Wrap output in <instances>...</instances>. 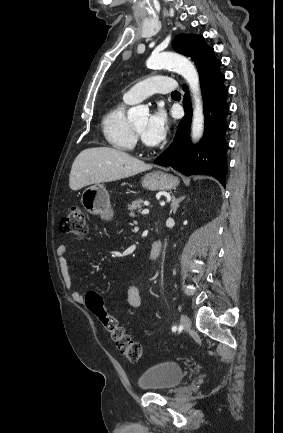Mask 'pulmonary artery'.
Returning <instances> with one entry per match:
<instances>
[{
  "label": "pulmonary artery",
  "mask_w": 283,
  "mask_h": 433,
  "mask_svg": "<svg viewBox=\"0 0 283 433\" xmlns=\"http://www.w3.org/2000/svg\"><path fill=\"white\" fill-rule=\"evenodd\" d=\"M180 85L172 78H164L163 72H154L153 77L144 78L124 94V100L130 104L137 103L153 93L178 92Z\"/></svg>",
  "instance_id": "1"
}]
</instances>
